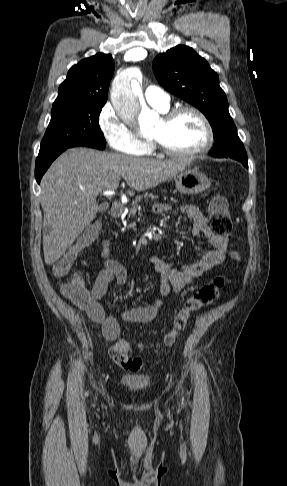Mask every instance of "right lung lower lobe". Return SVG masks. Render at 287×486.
<instances>
[{
	"label": "right lung lower lobe",
	"instance_id": "right-lung-lower-lobe-1",
	"mask_svg": "<svg viewBox=\"0 0 287 486\" xmlns=\"http://www.w3.org/2000/svg\"><path fill=\"white\" fill-rule=\"evenodd\" d=\"M63 151L64 150H61L55 153H50V154L41 155L37 157L36 166H35V178L38 183H40L43 174L46 172L47 168L50 166L53 160L57 156H59Z\"/></svg>",
	"mask_w": 287,
	"mask_h": 486
}]
</instances>
